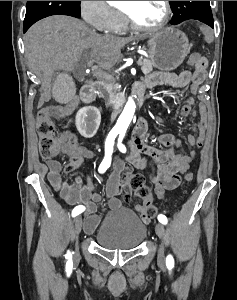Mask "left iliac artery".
Wrapping results in <instances>:
<instances>
[{
	"label": "left iliac artery",
	"instance_id": "obj_1",
	"mask_svg": "<svg viewBox=\"0 0 237 300\" xmlns=\"http://www.w3.org/2000/svg\"><path fill=\"white\" fill-rule=\"evenodd\" d=\"M124 136H125V132H121V133H120V136H119V138H118V144H117L119 150H120L121 152H123V153L126 152V147H125V145H123V144L121 143L122 140H123V138H124ZM158 220H159V222H161V223L164 224V225L167 224V218H166L165 215L160 214V215L158 216ZM166 265H167L168 268L174 267V259H173V257H172L171 255H168V256H167V258H166Z\"/></svg>",
	"mask_w": 237,
	"mask_h": 300
}]
</instances>
